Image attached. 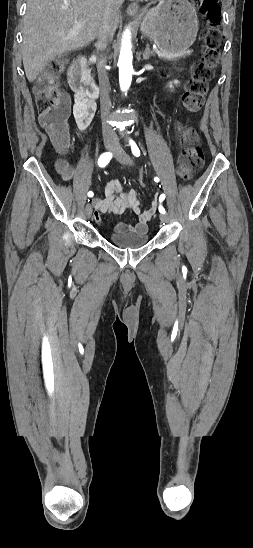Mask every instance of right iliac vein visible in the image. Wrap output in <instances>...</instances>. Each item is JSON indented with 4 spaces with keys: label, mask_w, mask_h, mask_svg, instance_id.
<instances>
[{
    "label": "right iliac vein",
    "mask_w": 253,
    "mask_h": 548,
    "mask_svg": "<svg viewBox=\"0 0 253 548\" xmlns=\"http://www.w3.org/2000/svg\"><path fill=\"white\" fill-rule=\"evenodd\" d=\"M105 147H106V149H107L108 151H113V150H115L116 145H115L114 143H107V144L105 145ZM85 214H86V216H87L88 218L91 216V214H92V206H91L90 204H87V205H86V207H85Z\"/></svg>",
    "instance_id": "1"
}]
</instances>
